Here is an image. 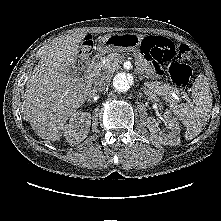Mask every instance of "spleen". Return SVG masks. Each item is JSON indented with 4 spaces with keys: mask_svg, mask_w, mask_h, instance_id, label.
Listing matches in <instances>:
<instances>
[{
    "mask_svg": "<svg viewBox=\"0 0 221 221\" xmlns=\"http://www.w3.org/2000/svg\"><path fill=\"white\" fill-rule=\"evenodd\" d=\"M170 103L168 114L173 112L176 118L181 120L186 127L185 138L191 140L201 133L210 117L212 108V94L205 80H197L194 83L192 101L176 105L174 99L167 100Z\"/></svg>",
    "mask_w": 221,
    "mask_h": 221,
    "instance_id": "3e777b00",
    "label": "spleen"
}]
</instances>
